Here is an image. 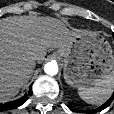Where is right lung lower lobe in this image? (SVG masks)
<instances>
[{"label":"right lung lower lobe","mask_w":114,"mask_h":114,"mask_svg":"<svg viewBox=\"0 0 114 114\" xmlns=\"http://www.w3.org/2000/svg\"><path fill=\"white\" fill-rule=\"evenodd\" d=\"M31 94H32V90H31V86H30L29 92L27 94H25L23 97L15 100V101L0 104V111L10 110V109H13V108H16V107L22 105Z\"/></svg>","instance_id":"obj_1"}]
</instances>
